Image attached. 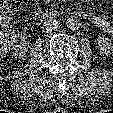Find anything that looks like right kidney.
I'll use <instances>...</instances> for the list:
<instances>
[{
  "label": "right kidney",
  "mask_w": 113,
  "mask_h": 113,
  "mask_svg": "<svg viewBox=\"0 0 113 113\" xmlns=\"http://www.w3.org/2000/svg\"><path fill=\"white\" fill-rule=\"evenodd\" d=\"M29 46V40L25 37L21 38L20 41H18L13 46V55L17 58H22L28 51Z\"/></svg>",
  "instance_id": "right-kidney-1"
}]
</instances>
